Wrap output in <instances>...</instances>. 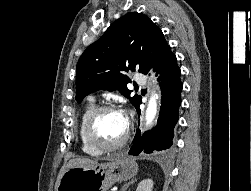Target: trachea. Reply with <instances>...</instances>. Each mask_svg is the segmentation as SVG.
I'll return each instance as SVG.
<instances>
[{
	"label": "trachea",
	"instance_id": "obj_1",
	"mask_svg": "<svg viewBox=\"0 0 251 191\" xmlns=\"http://www.w3.org/2000/svg\"><path fill=\"white\" fill-rule=\"evenodd\" d=\"M135 86V88H138V85H134Z\"/></svg>",
	"mask_w": 251,
	"mask_h": 191
}]
</instances>
